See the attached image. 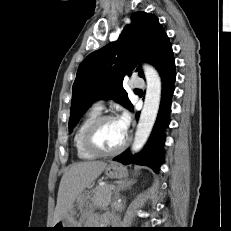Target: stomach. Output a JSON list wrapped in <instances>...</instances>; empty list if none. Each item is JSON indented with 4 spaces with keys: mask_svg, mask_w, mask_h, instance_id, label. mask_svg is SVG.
Masks as SVG:
<instances>
[{
    "mask_svg": "<svg viewBox=\"0 0 231 231\" xmlns=\"http://www.w3.org/2000/svg\"><path fill=\"white\" fill-rule=\"evenodd\" d=\"M128 172L127 169L118 164V163H110L105 168V175L108 178L112 179H122L127 176ZM92 194L93 190L85 191L82 193L75 201V205L73 206L72 212L69 214V216L65 219H62L58 221L52 228L53 231H72L76 229L71 228H82L81 227V221L82 220H76L74 218V215L76 214L75 208L76 207L80 212H84L88 206L90 200H92Z\"/></svg>",
    "mask_w": 231,
    "mask_h": 231,
    "instance_id": "obj_1",
    "label": "stomach"
}]
</instances>
